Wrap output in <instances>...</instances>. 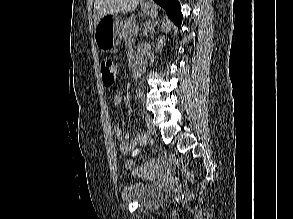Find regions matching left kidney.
<instances>
[{"label":"left kidney","mask_w":293,"mask_h":219,"mask_svg":"<svg viewBox=\"0 0 293 219\" xmlns=\"http://www.w3.org/2000/svg\"><path fill=\"white\" fill-rule=\"evenodd\" d=\"M163 40L165 41L164 37L160 38V41L158 42V49L163 46Z\"/></svg>","instance_id":"obj_1"}]
</instances>
